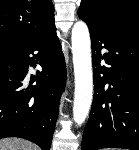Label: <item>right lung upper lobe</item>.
I'll use <instances>...</instances> for the list:
<instances>
[{"instance_id": "right-lung-upper-lobe-1", "label": "right lung upper lobe", "mask_w": 139, "mask_h": 150, "mask_svg": "<svg viewBox=\"0 0 139 150\" xmlns=\"http://www.w3.org/2000/svg\"><path fill=\"white\" fill-rule=\"evenodd\" d=\"M52 24L51 0H0V45L32 42Z\"/></svg>"}]
</instances>
